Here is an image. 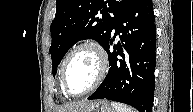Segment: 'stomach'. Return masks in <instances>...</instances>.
I'll return each mask as SVG.
<instances>
[{
    "label": "stomach",
    "instance_id": "obj_1",
    "mask_svg": "<svg viewBox=\"0 0 193 112\" xmlns=\"http://www.w3.org/2000/svg\"><path fill=\"white\" fill-rule=\"evenodd\" d=\"M77 112H114L106 100L93 101L89 106Z\"/></svg>",
    "mask_w": 193,
    "mask_h": 112
}]
</instances>
